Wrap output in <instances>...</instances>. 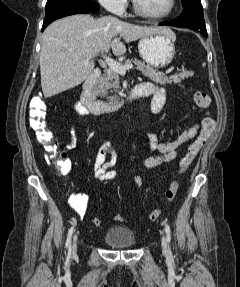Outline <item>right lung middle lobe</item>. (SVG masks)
<instances>
[{"label":"right lung middle lobe","instance_id":"1","mask_svg":"<svg viewBox=\"0 0 240 287\" xmlns=\"http://www.w3.org/2000/svg\"><path fill=\"white\" fill-rule=\"evenodd\" d=\"M55 1H60V0H47L46 4H49V3H52V2H55Z\"/></svg>","mask_w":240,"mask_h":287}]
</instances>
